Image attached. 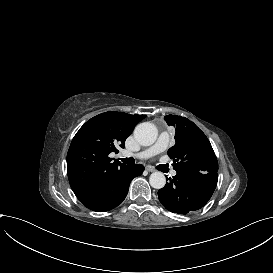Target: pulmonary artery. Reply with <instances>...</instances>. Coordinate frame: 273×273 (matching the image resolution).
<instances>
[{
    "instance_id": "pulmonary-artery-1",
    "label": "pulmonary artery",
    "mask_w": 273,
    "mask_h": 273,
    "mask_svg": "<svg viewBox=\"0 0 273 273\" xmlns=\"http://www.w3.org/2000/svg\"><path fill=\"white\" fill-rule=\"evenodd\" d=\"M170 140H171V135L169 133H164L158 144L152 146L148 150L138 151L136 153V158L138 160H144V159H150V158L155 157L156 155H158L159 153H162L163 151H165L168 148ZM170 174L172 176H175L176 171L171 170Z\"/></svg>"
}]
</instances>
